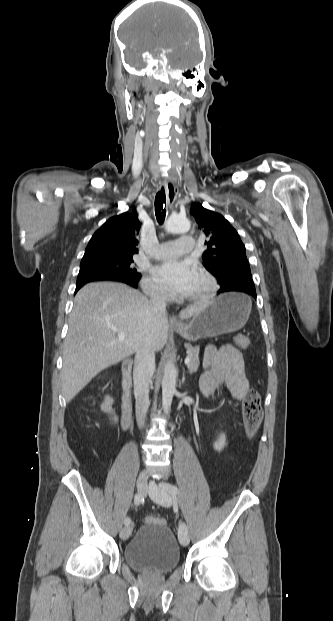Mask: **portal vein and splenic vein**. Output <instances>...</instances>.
<instances>
[{"instance_id":"obj_1","label":"portal vein and splenic vein","mask_w":333,"mask_h":621,"mask_svg":"<svg viewBox=\"0 0 333 621\" xmlns=\"http://www.w3.org/2000/svg\"><path fill=\"white\" fill-rule=\"evenodd\" d=\"M113 330L119 332V334H118V339L119 340H123L125 338V334L123 332H121L120 330H117L116 328H113ZM190 361H191L190 358L186 357L185 360H184V363L186 365H188L190 363Z\"/></svg>"}]
</instances>
